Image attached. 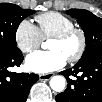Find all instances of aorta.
I'll return each mask as SVG.
<instances>
[{
	"instance_id": "obj_1",
	"label": "aorta",
	"mask_w": 102,
	"mask_h": 102,
	"mask_svg": "<svg viewBox=\"0 0 102 102\" xmlns=\"http://www.w3.org/2000/svg\"><path fill=\"white\" fill-rule=\"evenodd\" d=\"M42 47H46L45 43H42ZM65 83L66 81L63 76H53L50 80V87L56 92H62L65 89Z\"/></svg>"
}]
</instances>
